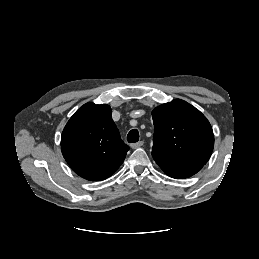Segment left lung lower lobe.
<instances>
[{
    "label": "left lung lower lobe",
    "instance_id": "1",
    "mask_svg": "<svg viewBox=\"0 0 259 259\" xmlns=\"http://www.w3.org/2000/svg\"><path fill=\"white\" fill-rule=\"evenodd\" d=\"M154 160L166 175L175 179L190 177L203 167L200 164L176 163L159 158H154Z\"/></svg>",
    "mask_w": 259,
    "mask_h": 259
}]
</instances>
